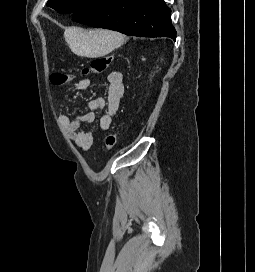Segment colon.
<instances>
[{
    "instance_id": "5ec220e1",
    "label": "colon",
    "mask_w": 255,
    "mask_h": 272,
    "mask_svg": "<svg viewBox=\"0 0 255 272\" xmlns=\"http://www.w3.org/2000/svg\"><path fill=\"white\" fill-rule=\"evenodd\" d=\"M112 58L109 55L99 56L92 59L89 67H85L81 71V76L98 74L104 72L111 64ZM76 78L74 74L63 72H54L51 74V81L56 85H66ZM118 133L116 131L109 133L105 138V148L112 151L117 143Z\"/></svg>"
}]
</instances>
